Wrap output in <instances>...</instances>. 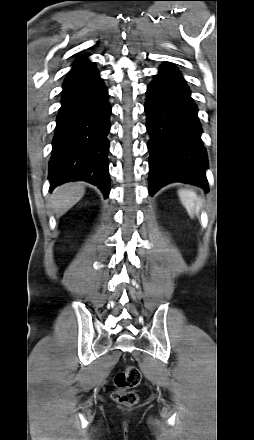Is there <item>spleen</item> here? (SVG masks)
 <instances>
[{
    "instance_id": "1",
    "label": "spleen",
    "mask_w": 254,
    "mask_h": 440,
    "mask_svg": "<svg viewBox=\"0 0 254 440\" xmlns=\"http://www.w3.org/2000/svg\"><path fill=\"white\" fill-rule=\"evenodd\" d=\"M178 196L191 218L199 213L203 202L193 189H180Z\"/></svg>"
}]
</instances>
